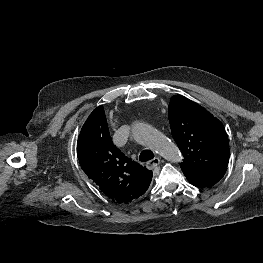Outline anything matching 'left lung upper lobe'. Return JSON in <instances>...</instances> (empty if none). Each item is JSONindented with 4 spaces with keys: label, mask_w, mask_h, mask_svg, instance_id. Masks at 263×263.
<instances>
[{
    "label": "left lung upper lobe",
    "mask_w": 263,
    "mask_h": 263,
    "mask_svg": "<svg viewBox=\"0 0 263 263\" xmlns=\"http://www.w3.org/2000/svg\"><path fill=\"white\" fill-rule=\"evenodd\" d=\"M172 136L181 150L182 171L226 172L229 142L223 124L204 107L182 95L168 106Z\"/></svg>",
    "instance_id": "5c2ea615"
}]
</instances>
